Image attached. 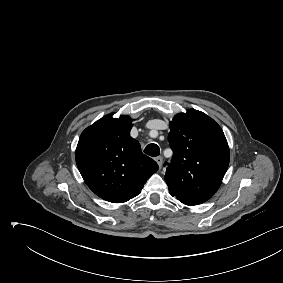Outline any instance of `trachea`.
Returning <instances> with one entry per match:
<instances>
[{
  "instance_id": "3493384b",
  "label": "trachea",
  "mask_w": 283,
  "mask_h": 283,
  "mask_svg": "<svg viewBox=\"0 0 283 283\" xmlns=\"http://www.w3.org/2000/svg\"><path fill=\"white\" fill-rule=\"evenodd\" d=\"M144 153L149 156L156 157L160 154L159 146L157 144L151 143L146 146Z\"/></svg>"
}]
</instances>
